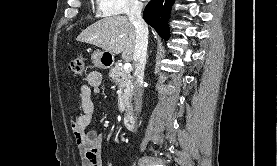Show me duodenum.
<instances>
[{
	"label": "duodenum",
	"mask_w": 277,
	"mask_h": 166,
	"mask_svg": "<svg viewBox=\"0 0 277 166\" xmlns=\"http://www.w3.org/2000/svg\"><path fill=\"white\" fill-rule=\"evenodd\" d=\"M124 127L127 130H133L135 127V116L132 112H127L123 118Z\"/></svg>",
	"instance_id": "obj_1"
}]
</instances>
